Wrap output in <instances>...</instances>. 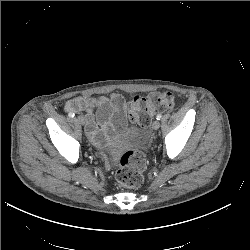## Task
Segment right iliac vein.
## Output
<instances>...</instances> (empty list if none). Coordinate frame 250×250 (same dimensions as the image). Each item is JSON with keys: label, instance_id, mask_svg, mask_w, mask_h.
<instances>
[{"label": "right iliac vein", "instance_id": "1", "mask_svg": "<svg viewBox=\"0 0 250 250\" xmlns=\"http://www.w3.org/2000/svg\"><path fill=\"white\" fill-rule=\"evenodd\" d=\"M76 121L79 122L81 125H84V124H85V121H84V119H83L82 116H78V117L76 118Z\"/></svg>", "mask_w": 250, "mask_h": 250}]
</instances>
